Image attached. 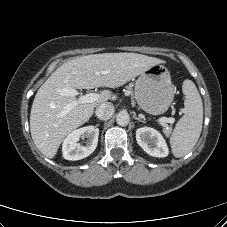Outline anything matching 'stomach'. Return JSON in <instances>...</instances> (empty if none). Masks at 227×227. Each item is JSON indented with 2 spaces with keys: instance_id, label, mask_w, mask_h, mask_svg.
<instances>
[{
  "instance_id": "obj_1",
  "label": "stomach",
  "mask_w": 227,
  "mask_h": 227,
  "mask_svg": "<svg viewBox=\"0 0 227 227\" xmlns=\"http://www.w3.org/2000/svg\"><path fill=\"white\" fill-rule=\"evenodd\" d=\"M175 87L168 69L153 65L136 80L134 96L139 107L152 115L165 113L173 102Z\"/></svg>"
}]
</instances>
